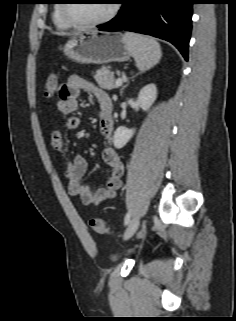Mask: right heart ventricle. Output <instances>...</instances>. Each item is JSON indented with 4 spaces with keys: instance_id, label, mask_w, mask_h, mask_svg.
I'll return each mask as SVG.
<instances>
[{
    "instance_id": "right-heart-ventricle-1",
    "label": "right heart ventricle",
    "mask_w": 236,
    "mask_h": 321,
    "mask_svg": "<svg viewBox=\"0 0 236 321\" xmlns=\"http://www.w3.org/2000/svg\"><path fill=\"white\" fill-rule=\"evenodd\" d=\"M53 22L57 28L67 29L70 28L71 25L67 23L61 15V5L58 4L55 6L53 10Z\"/></svg>"
}]
</instances>
